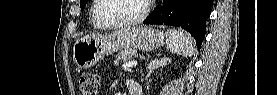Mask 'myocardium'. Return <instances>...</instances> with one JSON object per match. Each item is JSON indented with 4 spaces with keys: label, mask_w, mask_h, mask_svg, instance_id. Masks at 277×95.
<instances>
[{
    "label": "myocardium",
    "mask_w": 277,
    "mask_h": 95,
    "mask_svg": "<svg viewBox=\"0 0 277 95\" xmlns=\"http://www.w3.org/2000/svg\"><path fill=\"white\" fill-rule=\"evenodd\" d=\"M104 0H98L97 4L93 7L92 10V17L93 20L96 21L98 24H100L103 27L106 28H113V27H121V26H129V25H135L140 23L142 20L145 19V17L148 15L149 10H150V4H149V0H142L143 2V10L142 12L134 17V18H130V19H119V20H105L103 18H101L98 15V8L101 6V4L103 3Z\"/></svg>",
    "instance_id": "obj_1"
}]
</instances>
